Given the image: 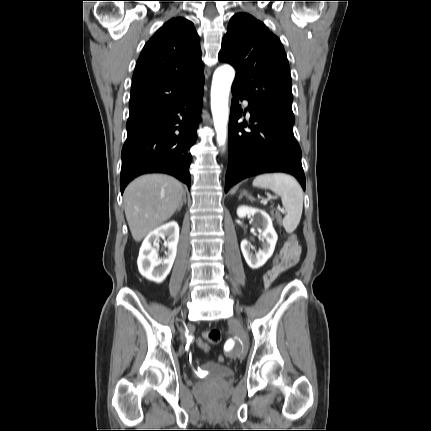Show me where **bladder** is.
<instances>
[{
    "instance_id": "1",
    "label": "bladder",
    "mask_w": 431,
    "mask_h": 431,
    "mask_svg": "<svg viewBox=\"0 0 431 431\" xmlns=\"http://www.w3.org/2000/svg\"><path fill=\"white\" fill-rule=\"evenodd\" d=\"M235 374L234 370L223 364H218L214 362H206L201 368L200 372L196 374V377L213 379V380H222L232 377Z\"/></svg>"
}]
</instances>
